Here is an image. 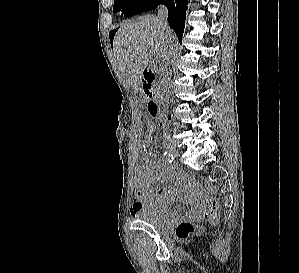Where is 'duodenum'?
Listing matches in <instances>:
<instances>
[{
  "label": "duodenum",
  "instance_id": "1",
  "mask_svg": "<svg viewBox=\"0 0 299 273\" xmlns=\"http://www.w3.org/2000/svg\"><path fill=\"white\" fill-rule=\"evenodd\" d=\"M154 81H155L154 72L149 68H145L141 74V83H142V92L147 101L148 112L154 118L161 120L162 111L160 108V100L156 96L153 89Z\"/></svg>",
  "mask_w": 299,
  "mask_h": 273
}]
</instances>
